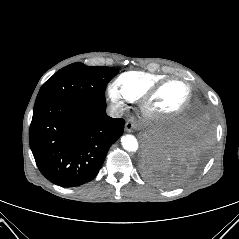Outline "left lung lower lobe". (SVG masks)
I'll use <instances>...</instances> for the list:
<instances>
[{
	"instance_id": "obj_1",
	"label": "left lung lower lobe",
	"mask_w": 239,
	"mask_h": 239,
	"mask_svg": "<svg viewBox=\"0 0 239 239\" xmlns=\"http://www.w3.org/2000/svg\"><path fill=\"white\" fill-rule=\"evenodd\" d=\"M213 128L207 111L192 105L169 130L150 139L143 153V174L162 187L188 180L205 162Z\"/></svg>"
}]
</instances>
